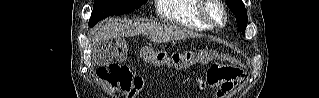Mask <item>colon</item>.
<instances>
[{"instance_id": "colon-1", "label": "colon", "mask_w": 319, "mask_h": 98, "mask_svg": "<svg viewBox=\"0 0 319 98\" xmlns=\"http://www.w3.org/2000/svg\"><path fill=\"white\" fill-rule=\"evenodd\" d=\"M140 56L147 63L156 67L181 68L195 63L212 62L206 73V82L211 87H221L218 97H223L227 92L233 90L243 75L240 67L225 62L221 54L211 49L188 50L168 55L163 50L144 47L140 50ZM116 57L120 61L127 57V46L124 42L118 44ZM98 77L107 82L111 88L130 96L143 85V80L139 76L133 75L127 67L115 63L100 69Z\"/></svg>"}]
</instances>
